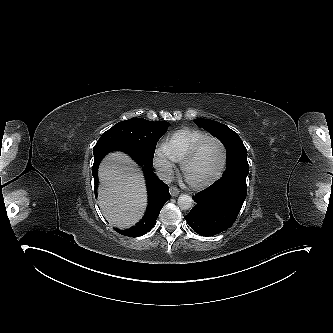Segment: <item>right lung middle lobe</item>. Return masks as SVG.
<instances>
[{"instance_id": "right-lung-middle-lobe-1", "label": "right lung middle lobe", "mask_w": 333, "mask_h": 333, "mask_svg": "<svg viewBox=\"0 0 333 333\" xmlns=\"http://www.w3.org/2000/svg\"><path fill=\"white\" fill-rule=\"evenodd\" d=\"M168 127L169 124L164 121L151 122L143 118H133L117 123L107 132L125 138L152 163L157 141Z\"/></svg>"}]
</instances>
